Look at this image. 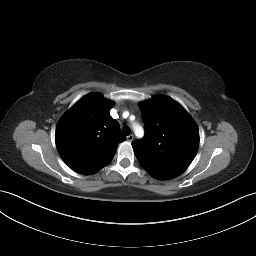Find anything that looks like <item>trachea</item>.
Listing matches in <instances>:
<instances>
[{"label": "trachea", "mask_w": 256, "mask_h": 256, "mask_svg": "<svg viewBox=\"0 0 256 256\" xmlns=\"http://www.w3.org/2000/svg\"><path fill=\"white\" fill-rule=\"evenodd\" d=\"M122 132H123L125 135H129L130 132H131V130H130V128H129L128 126H124V127L122 128Z\"/></svg>", "instance_id": "1"}]
</instances>
